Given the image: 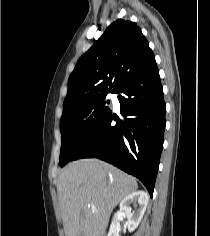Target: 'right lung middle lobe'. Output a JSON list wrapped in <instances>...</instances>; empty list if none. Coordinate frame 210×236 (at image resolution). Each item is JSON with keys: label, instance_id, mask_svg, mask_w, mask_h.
Segmentation results:
<instances>
[{"label": "right lung middle lobe", "instance_id": "dd1d6c3e", "mask_svg": "<svg viewBox=\"0 0 210 236\" xmlns=\"http://www.w3.org/2000/svg\"><path fill=\"white\" fill-rule=\"evenodd\" d=\"M107 94L83 101L76 108L63 113L60 122L62 144L60 166L71 161L90 134L110 112Z\"/></svg>", "mask_w": 210, "mask_h": 236}]
</instances>
